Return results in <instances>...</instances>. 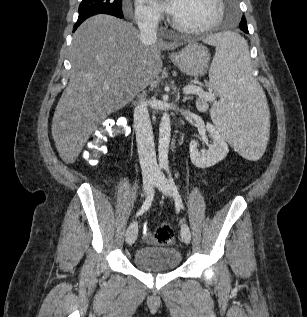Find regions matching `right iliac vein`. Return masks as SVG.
<instances>
[{"mask_svg": "<svg viewBox=\"0 0 307 317\" xmlns=\"http://www.w3.org/2000/svg\"><path fill=\"white\" fill-rule=\"evenodd\" d=\"M154 181H155L154 176L150 175V176L144 177L143 186H144L145 194H149V192L151 191L153 187ZM137 234H138V224L136 221H134L128 226L126 230V234H125L126 243L128 245H132L137 238Z\"/></svg>", "mask_w": 307, "mask_h": 317, "instance_id": "right-iliac-vein-1", "label": "right iliac vein"}]
</instances>
